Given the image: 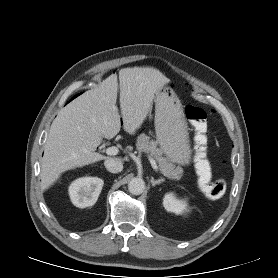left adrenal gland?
I'll use <instances>...</instances> for the list:
<instances>
[{"label": "left adrenal gland", "instance_id": "1", "mask_svg": "<svg viewBox=\"0 0 278 278\" xmlns=\"http://www.w3.org/2000/svg\"><path fill=\"white\" fill-rule=\"evenodd\" d=\"M164 182V179L161 178V179H158V180H155L154 178H151V184H152V187H155L156 185H159L161 183Z\"/></svg>", "mask_w": 278, "mask_h": 278}]
</instances>
